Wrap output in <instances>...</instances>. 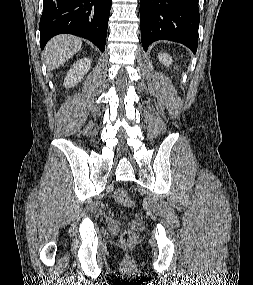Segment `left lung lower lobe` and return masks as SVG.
I'll use <instances>...</instances> for the list:
<instances>
[{"mask_svg": "<svg viewBox=\"0 0 253 285\" xmlns=\"http://www.w3.org/2000/svg\"><path fill=\"white\" fill-rule=\"evenodd\" d=\"M200 15L198 0H141V41L145 51L157 40H170L196 53Z\"/></svg>", "mask_w": 253, "mask_h": 285, "instance_id": "left-lung-lower-lobe-1", "label": "left lung lower lobe"}]
</instances>
